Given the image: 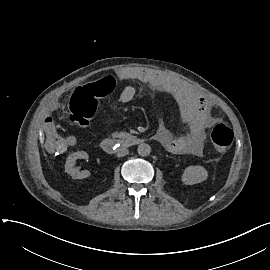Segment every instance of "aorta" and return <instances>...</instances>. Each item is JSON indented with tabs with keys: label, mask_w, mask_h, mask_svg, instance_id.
I'll list each match as a JSON object with an SVG mask.
<instances>
[{
	"label": "aorta",
	"mask_w": 270,
	"mask_h": 270,
	"mask_svg": "<svg viewBox=\"0 0 270 270\" xmlns=\"http://www.w3.org/2000/svg\"><path fill=\"white\" fill-rule=\"evenodd\" d=\"M137 152L141 156H147L151 152V147L146 143H141L138 145Z\"/></svg>",
	"instance_id": "obj_1"
}]
</instances>
